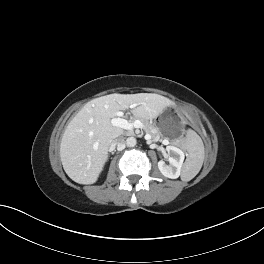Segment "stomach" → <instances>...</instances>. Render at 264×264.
Returning <instances> with one entry per match:
<instances>
[{
	"label": "stomach",
	"instance_id": "1",
	"mask_svg": "<svg viewBox=\"0 0 264 264\" xmlns=\"http://www.w3.org/2000/svg\"><path fill=\"white\" fill-rule=\"evenodd\" d=\"M162 136L177 138L181 135L184 125L182 118L172 108H167L155 121Z\"/></svg>",
	"mask_w": 264,
	"mask_h": 264
}]
</instances>
